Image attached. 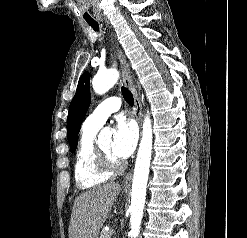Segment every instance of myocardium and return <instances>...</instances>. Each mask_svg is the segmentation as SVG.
<instances>
[{
    "mask_svg": "<svg viewBox=\"0 0 247 238\" xmlns=\"http://www.w3.org/2000/svg\"><path fill=\"white\" fill-rule=\"evenodd\" d=\"M96 165L100 171L110 175L121 172L124 167L123 162L111 158L100 146H96Z\"/></svg>",
    "mask_w": 247,
    "mask_h": 238,
    "instance_id": "f54148a6",
    "label": "myocardium"
}]
</instances>
